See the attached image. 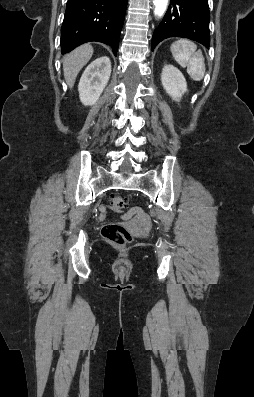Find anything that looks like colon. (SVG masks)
Returning <instances> with one entry per match:
<instances>
[{
	"label": "colon",
	"instance_id": "colon-1",
	"mask_svg": "<svg viewBox=\"0 0 254 397\" xmlns=\"http://www.w3.org/2000/svg\"><path fill=\"white\" fill-rule=\"evenodd\" d=\"M130 203L128 197L114 195L111 198V209L115 212H122ZM103 237L112 245L117 247L128 246L133 237L131 233L121 224L113 223L107 224L102 229Z\"/></svg>",
	"mask_w": 254,
	"mask_h": 397
}]
</instances>
